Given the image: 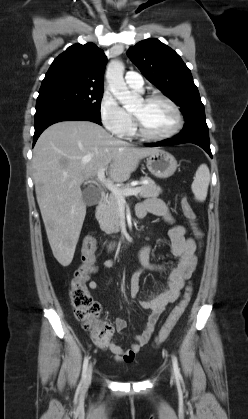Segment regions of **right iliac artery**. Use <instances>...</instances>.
<instances>
[{
	"instance_id": "obj_1",
	"label": "right iliac artery",
	"mask_w": 248,
	"mask_h": 419,
	"mask_svg": "<svg viewBox=\"0 0 248 419\" xmlns=\"http://www.w3.org/2000/svg\"><path fill=\"white\" fill-rule=\"evenodd\" d=\"M88 361H89V358L88 357H85L84 362H83L82 380H81L80 386L84 383L85 378H86V371H87V367H88Z\"/></svg>"
}]
</instances>
